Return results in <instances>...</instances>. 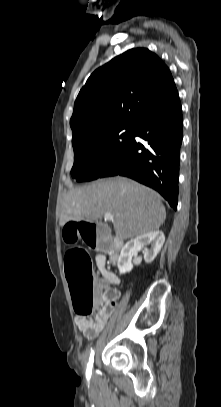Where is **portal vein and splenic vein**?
<instances>
[{
	"label": "portal vein and splenic vein",
	"mask_w": 221,
	"mask_h": 407,
	"mask_svg": "<svg viewBox=\"0 0 221 407\" xmlns=\"http://www.w3.org/2000/svg\"><path fill=\"white\" fill-rule=\"evenodd\" d=\"M104 219H105V220H111V221H113V220H114V217H113L112 214L107 213V214L104 215Z\"/></svg>",
	"instance_id": "18ae733b"
}]
</instances>
